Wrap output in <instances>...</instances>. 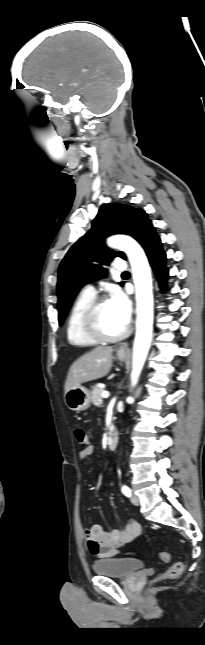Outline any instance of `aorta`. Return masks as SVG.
Here are the masks:
<instances>
[{"label": "aorta", "instance_id": "obj_1", "mask_svg": "<svg viewBox=\"0 0 205 645\" xmlns=\"http://www.w3.org/2000/svg\"><path fill=\"white\" fill-rule=\"evenodd\" d=\"M107 244L111 248L124 251L130 261L136 288L137 319L136 336L133 346L132 385L138 381L144 366L152 339L153 330V293L151 269L140 245L127 236H113ZM131 398H128L130 400Z\"/></svg>", "mask_w": 205, "mask_h": 645}]
</instances>
